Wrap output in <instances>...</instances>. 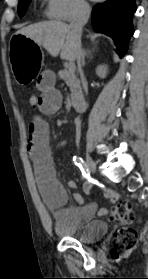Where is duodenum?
<instances>
[{
	"instance_id": "1",
	"label": "duodenum",
	"mask_w": 148,
	"mask_h": 279,
	"mask_svg": "<svg viewBox=\"0 0 148 279\" xmlns=\"http://www.w3.org/2000/svg\"><path fill=\"white\" fill-rule=\"evenodd\" d=\"M85 106H86V102L84 99H79L73 102V109L77 112L83 111Z\"/></svg>"
}]
</instances>
